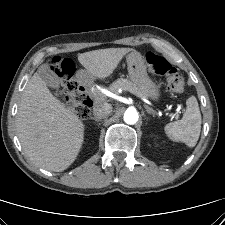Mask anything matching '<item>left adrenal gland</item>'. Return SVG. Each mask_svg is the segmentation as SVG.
Masks as SVG:
<instances>
[{"label": "left adrenal gland", "mask_w": 225, "mask_h": 225, "mask_svg": "<svg viewBox=\"0 0 225 225\" xmlns=\"http://www.w3.org/2000/svg\"><path fill=\"white\" fill-rule=\"evenodd\" d=\"M144 107L147 110V113L148 114L153 115V116H156L157 115L156 112L152 108H150L149 106L144 105Z\"/></svg>", "instance_id": "1"}]
</instances>
